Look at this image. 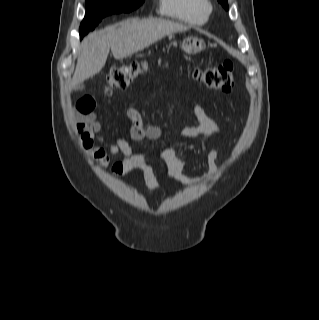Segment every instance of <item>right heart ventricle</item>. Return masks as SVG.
<instances>
[{"label": "right heart ventricle", "instance_id": "obj_1", "mask_svg": "<svg viewBox=\"0 0 319 320\" xmlns=\"http://www.w3.org/2000/svg\"><path fill=\"white\" fill-rule=\"evenodd\" d=\"M159 12L194 25H203L211 12L209 0H160Z\"/></svg>", "mask_w": 319, "mask_h": 320}]
</instances>
